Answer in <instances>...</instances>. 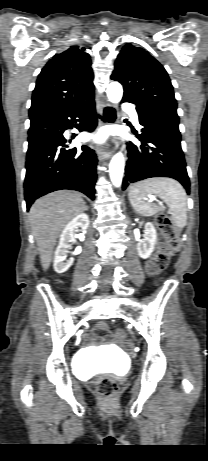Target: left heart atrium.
I'll use <instances>...</instances> for the list:
<instances>
[{
    "label": "left heart atrium",
    "instance_id": "39dd6f15",
    "mask_svg": "<svg viewBox=\"0 0 208 461\" xmlns=\"http://www.w3.org/2000/svg\"><path fill=\"white\" fill-rule=\"evenodd\" d=\"M105 139V134H100L98 136V141H103Z\"/></svg>",
    "mask_w": 208,
    "mask_h": 461
}]
</instances>
